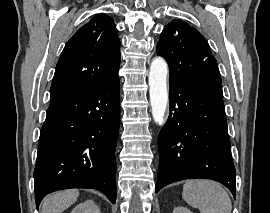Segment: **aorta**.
<instances>
[{"instance_id":"aorta-1","label":"aorta","mask_w":270,"mask_h":213,"mask_svg":"<svg viewBox=\"0 0 270 213\" xmlns=\"http://www.w3.org/2000/svg\"><path fill=\"white\" fill-rule=\"evenodd\" d=\"M168 66L161 57L153 59L149 71L150 103L154 121L163 125L168 103L167 91Z\"/></svg>"}]
</instances>
